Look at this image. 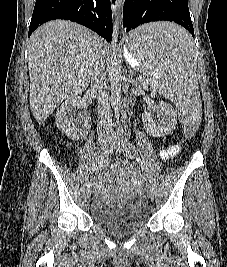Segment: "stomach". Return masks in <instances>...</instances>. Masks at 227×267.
Returning a JSON list of instances; mask_svg holds the SVG:
<instances>
[{"instance_id":"1","label":"stomach","mask_w":227,"mask_h":267,"mask_svg":"<svg viewBox=\"0 0 227 267\" xmlns=\"http://www.w3.org/2000/svg\"><path fill=\"white\" fill-rule=\"evenodd\" d=\"M125 58L131 67L141 71V63H136V59L133 58V55H129L128 47H125Z\"/></svg>"}]
</instances>
